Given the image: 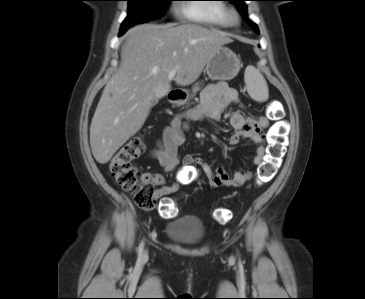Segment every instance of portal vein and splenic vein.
Returning a JSON list of instances; mask_svg holds the SVG:
<instances>
[{"label": "portal vein and splenic vein", "instance_id": "18ae733b", "mask_svg": "<svg viewBox=\"0 0 365 299\" xmlns=\"http://www.w3.org/2000/svg\"><path fill=\"white\" fill-rule=\"evenodd\" d=\"M175 75H176V71L175 70L170 71L169 74H168V79L169 80L174 79Z\"/></svg>", "mask_w": 365, "mask_h": 299}]
</instances>
